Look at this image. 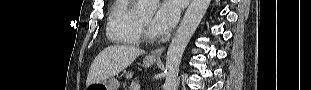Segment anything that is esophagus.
I'll return each instance as SVG.
<instances>
[{
    "label": "esophagus",
    "instance_id": "34e87169",
    "mask_svg": "<svg viewBox=\"0 0 311 90\" xmlns=\"http://www.w3.org/2000/svg\"><path fill=\"white\" fill-rule=\"evenodd\" d=\"M164 50H165L164 46H162L160 48H157V49H154V50H152L149 53L148 57L152 58V59H160V57L163 54Z\"/></svg>",
    "mask_w": 311,
    "mask_h": 90
}]
</instances>
